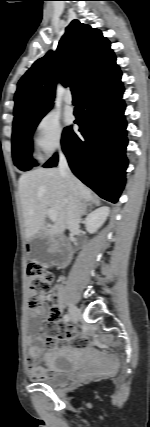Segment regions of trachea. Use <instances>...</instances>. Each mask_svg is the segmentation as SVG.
Returning <instances> with one entry per match:
<instances>
[{
    "label": "trachea",
    "instance_id": "1",
    "mask_svg": "<svg viewBox=\"0 0 150 427\" xmlns=\"http://www.w3.org/2000/svg\"><path fill=\"white\" fill-rule=\"evenodd\" d=\"M71 91L73 95H77V87L76 84H72L71 85Z\"/></svg>",
    "mask_w": 150,
    "mask_h": 427
}]
</instances>
